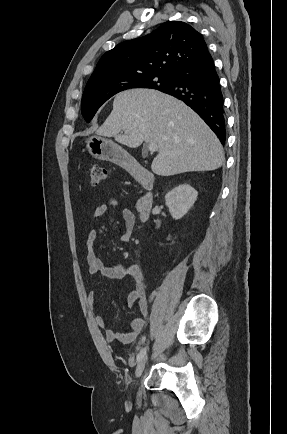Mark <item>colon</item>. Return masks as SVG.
Instances as JSON below:
<instances>
[{
	"label": "colon",
	"instance_id": "1",
	"mask_svg": "<svg viewBox=\"0 0 287 434\" xmlns=\"http://www.w3.org/2000/svg\"><path fill=\"white\" fill-rule=\"evenodd\" d=\"M106 168L100 165H93L90 168V181L92 185H98L106 178Z\"/></svg>",
	"mask_w": 287,
	"mask_h": 434
}]
</instances>
